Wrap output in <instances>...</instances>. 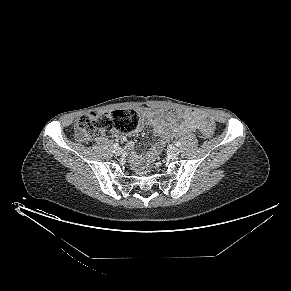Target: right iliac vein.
<instances>
[{
    "instance_id": "obj_1",
    "label": "right iliac vein",
    "mask_w": 291,
    "mask_h": 291,
    "mask_svg": "<svg viewBox=\"0 0 291 291\" xmlns=\"http://www.w3.org/2000/svg\"><path fill=\"white\" fill-rule=\"evenodd\" d=\"M123 153H124V150L122 148H117L115 150V155L116 156H121V155H123Z\"/></svg>"
}]
</instances>
